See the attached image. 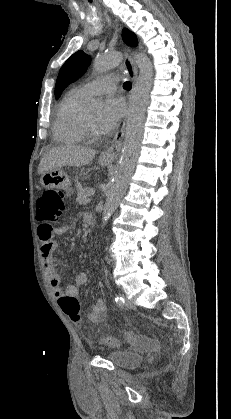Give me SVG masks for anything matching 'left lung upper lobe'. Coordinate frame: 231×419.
<instances>
[{
	"instance_id": "left-lung-upper-lobe-1",
	"label": "left lung upper lobe",
	"mask_w": 231,
	"mask_h": 419,
	"mask_svg": "<svg viewBox=\"0 0 231 419\" xmlns=\"http://www.w3.org/2000/svg\"><path fill=\"white\" fill-rule=\"evenodd\" d=\"M123 39L129 46L137 45L136 35L128 29H123ZM91 61L90 56L79 50L68 58L61 67L55 86V97L59 98L63 89L82 76Z\"/></svg>"
}]
</instances>
